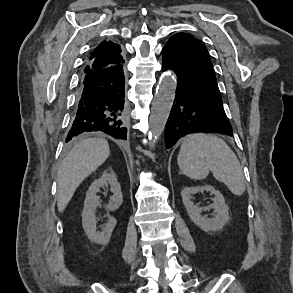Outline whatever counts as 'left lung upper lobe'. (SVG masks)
Listing matches in <instances>:
<instances>
[{"label": "left lung upper lobe", "instance_id": "1", "mask_svg": "<svg viewBox=\"0 0 293 293\" xmlns=\"http://www.w3.org/2000/svg\"><path fill=\"white\" fill-rule=\"evenodd\" d=\"M165 46L172 49L190 79L220 95L212 63L202 41L187 33H177Z\"/></svg>", "mask_w": 293, "mask_h": 293}]
</instances>
